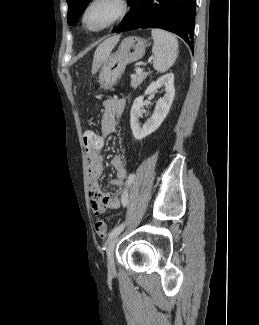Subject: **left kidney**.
Wrapping results in <instances>:
<instances>
[{"label": "left kidney", "mask_w": 259, "mask_h": 325, "mask_svg": "<svg viewBox=\"0 0 259 325\" xmlns=\"http://www.w3.org/2000/svg\"><path fill=\"white\" fill-rule=\"evenodd\" d=\"M161 86H165V94L158 100L155 111L151 118L148 119L147 122L141 127L139 124V118L142 116L144 96L157 92V89ZM174 95V75L173 73H168L160 77L157 81L152 82L145 90L144 95L135 99L130 111V125L135 139L142 140L160 127L169 113Z\"/></svg>", "instance_id": "left-kidney-1"}]
</instances>
